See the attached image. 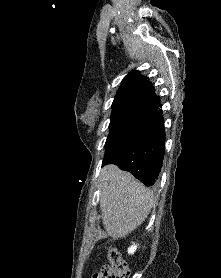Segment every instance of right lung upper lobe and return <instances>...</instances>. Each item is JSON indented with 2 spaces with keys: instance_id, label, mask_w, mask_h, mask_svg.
<instances>
[{
  "instance_id": "right-lung-upper-lobe-1",
  "label": "right lung upper lobe",
  "mask_w": 221,
  "mask_h": 278,
  "mask_svg": "<svg viewBox=\"0 0 221 278\" xmlns=\"http://www.w3.org/2000/svg\"><path fill=\"white\" fill-rule=\"evenodd\" d=\"M154 87L150 81L140 74L139 71H132L122 81L112 109H118L132 104H148L155 97Z\"/></svg>"
}]
</instances>
